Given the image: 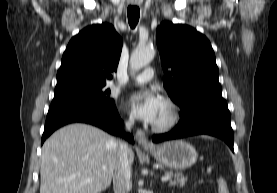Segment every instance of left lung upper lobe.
Wrapping results in <instances>:
<instances>
[{
    "label": "left lung upper lobe",
    "mask_w": 277,
    "mask_h": 193,
    "mask_svg": "<svg viewBox=\"0 0 277 193\" xmlns=\"http://www.w3.org/2000/svg\"><path fill=\"white\" fill-rule=\"evenodd\" d=\"M156 32L162 67L167 72L163 85L181 113L202 98L222 96L215 54L203 34L172 22L161 23Z\"/></svg>",
    "instance_id": "1"
}]
</instances>
